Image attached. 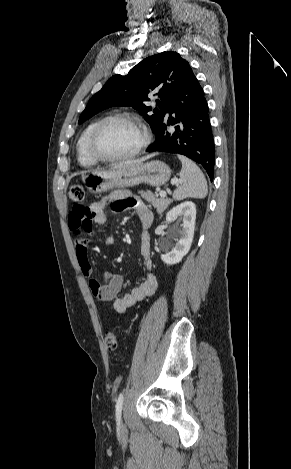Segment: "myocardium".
Returning <instances> with one entry per match:
<instances>
[{
    "label": "myocardium",
    "instance_id": "f54148a6",
    "mask_svg": "<svg viewBox=\"0 0 291 469\" xmlns=\"http://www.w3.org/2000/svg\"><path fill=\"white\" fill-rule=\"evenodd\" d=\"M124 121L137 127L143 134V140L140 145L132 152L118 157H109L103 155L98 148V138L102 130L110 123ZM151 134L148 128L136 117L129 114H114L102 119L92 130L88 140V150L91 156L98 162L116 163L130 160L140 155L150 144Z\"/></svg>",
    "mask_w": 291,
    "mask_h": 469
}]
</instances>
